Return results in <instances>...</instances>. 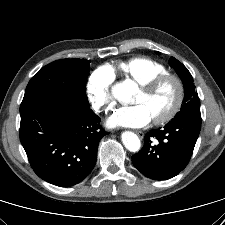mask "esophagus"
I'll use <instances>...</instances> for the list:
<instances>
[{"label": "esophagus", "instance_id": "34e87169", "mask_svg": "<svg viewBox=\"0 0 225 225\" xmlns=\"http://www.w3.org/2000/svg\"><path fill=\"white\" fill-rule=\"evenodd\" d=\"M136 134L138 135V137L140 139H143L144 138V133L142 131H136Z\"/></svg>", "mask_w": 225, "mask_h": 225}]
</instances>
